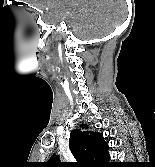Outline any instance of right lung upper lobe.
I'll return each mask as SVG.
<instances>
[{"label": "right lung upper lobe", "mask_w": 155, "mask_h": 167, "mask_svg": "<svg viewBox=\"0 0 155 167\" xmlns=\"http://www.w3.org/2000/svg\"><path fill=\"white\" fill-rule=\"evenodd\" d=\"M69 147L76 163L60 162L59 157L54 155L44 164V167H108L112 164L108 162L109 147L103 135L92 131L86 124H83L81 129L71 131Z\"/></svg>", "instance_id": "obj_1"}]
</instances>
